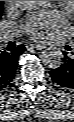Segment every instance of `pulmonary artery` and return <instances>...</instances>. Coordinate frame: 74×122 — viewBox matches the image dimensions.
<instances>
[{"instance_id":"pulmonary-artery-1","label":"pulmonary artery","mask_w":74,"mask_h":122,"mask_svg":"<svg viewBox=\"0 0 74 122\" xmlns=\"http://www.w3.org/2000/svg\"><path fill=\"white\" fill-rule=\"evenodd\" d=\"M7 39H8V40L11 39V36H8Z\"/></svg>"}]
</instances>
